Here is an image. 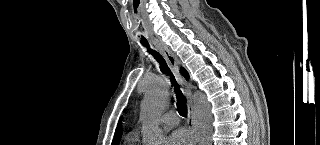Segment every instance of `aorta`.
I'll use <instances>...</instances> for the list:
<instances>
[{
    "mask_svg": "<svg viewBox=\"0 0 320 145\" xmlns=\"http://www.w3.org/2000/svg\"><path fill=\"white\" fill-rule=\"evenodd\" d=\"M169 87L157 77L149 83L141 104L142 133L146 145H163L165 135L157 121L167 107ZM194 129L197 145H212L211 106L204 94H194Z\"/></svg>",
    "mask_w": 320,
    "mask_h": 145,
    "instance_id": "aorta-1",
    "label": "aorta"
}]
</instances>
